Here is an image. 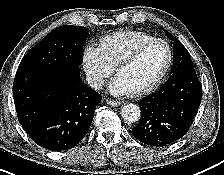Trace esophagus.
<instances>
[{"label": "esophagus", "instance_id": "34e87169", "mask_svg": "<svg viewBox=\"0 0 224 175\" xmlns=\"http://www.w3.org/2000/svg\"><path fill=\"white\" fill-rule=\"evenodd\" d=\"M106 103L108 105L114 106V107H117L121 104L119 101H116V100H113V99H106Z\"/></svg>", "mask_w": 224, "mask_h": 175}]
</instances>
